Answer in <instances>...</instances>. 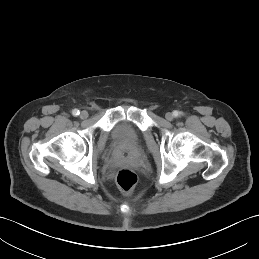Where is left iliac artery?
<instances>
[{
  "mask_svg": "<svg viewBox=\"0 0 259 259\" xmlns=\"http://www.w3.org/2000/svg\"><path fill=\"white\" fill-rule=\"evenodd\" d=\"M173 115H174V117H178L180 115V112L176 110L173 112Z\"/></svg>",
  "mask_w": 259,
  "mask_h": 259,
  "instance_id": "obj_1",
  "label": "left iliac artery"
}]
</instances>
